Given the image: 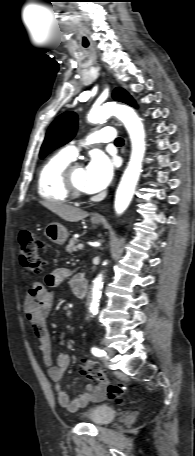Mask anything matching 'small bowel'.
Segmentation results:
<instances>
[{"instance_id": "small-bowel-1", "label": "small bowel", "mask_w": 195, "mask_h": 456, "mask_svg": "<svg viewBox=\"0 0 195 456\" xmlns=\"http://www.w3.org/2000/svg\"><path fill=\"white\" fill-rule=\"evenodd\" d=\"M68 276V270L59 268L49 273L45 277V285L34 283L28 290L24 298V309L32 325L35 337L38 341V350L43 362L48 368V375L53 382L54 390L60 406L69 410H76L93 401H99L107 395L104 384L86 386V391L70 398L63 390V377L69 366V356L60 354L53 364L51 354L50 335L47 326V318L54 301V292L47 287L54 288L59 286ZM66 334L60 335L61 343H64Z\"/></svg>"}]
</instances>
